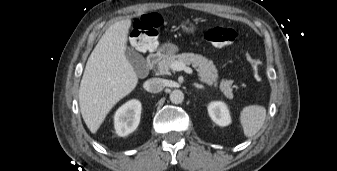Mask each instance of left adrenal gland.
Instances as JSON below:
<instances>
[{
    "label": "left adrenal gland",
    "mask_w": 337,
    "mask_h": 171,
    "mask_svg": "<svg viewBox=\"0 0 337 171\" xmlns=\"http://www.w3.org/2000/svg\"><path fill=\"white\" fill-rule=\"evenodd\" d=\"M195 87L198 88V89H204V86L199 85V84H195Z\"/></svg>",
    "instance_id": "1"
}]
</instances>
